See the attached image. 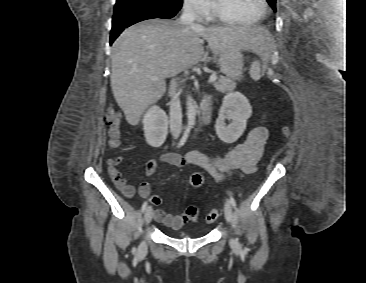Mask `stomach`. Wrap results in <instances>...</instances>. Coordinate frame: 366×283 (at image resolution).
<instances>
[{
    "label": "stomach",
    "mask_w": 366,
    "mask_h": 283,
    "mask_svg": "<svg viewBox=\"0 0 366 283\" xmlns=\"http://www.w3.org/2000/svg\"><path fill=\"white\" fill-rule=\"evenodd\" d=\"M220 70L231 79H238L243 66V58L239 46L234 45L233 49L221 51L218 55Z\"/></svg>",
    "instance_id": "stomach-1"
}]
</instances>
